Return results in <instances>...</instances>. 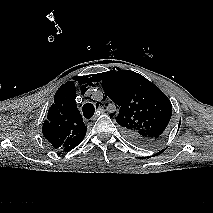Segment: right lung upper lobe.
<instances>
[{
	"instance_id": "right-lung-upper-lobe-1",
	"label": "right lung upper lobe",
	"mask_w": 213,
	"mask_h": 213,
	"mask_svg": "<svg viewBox=\"0 0 213 213\" xmlns=\"http://www.w3.org/2000/svg\"><path fill=\"white\" fill-rule=\"evenodd\" d=\"M75 84L66 82L55 94L54 104L48 110L43 123L44 137L56 149L70 151L79 145L86 135L87 127L77 109Z\"/></svg>"
}]
</instances>
